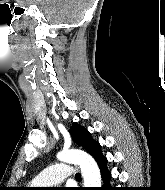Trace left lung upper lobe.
Segmentation results:
<instances>
[{"label":"left lung upper lobe","mask_w":165,"mask_h":190,"mask_svg":"<svg viewBox=\"0 0 165 190\" xmlns=\"http://www.w3.org/2000/svg\"><path fill=\"white\" fill-rule=\"evenodd\" d=\"M69 133L71 134L73 141L82 146L96 161L104 157L101 152L100 144L91 138L90 133L84 127L77 123H73Z\"/></svg>","instance_id":"obj_1"}]
</instances>
